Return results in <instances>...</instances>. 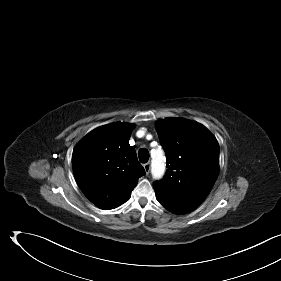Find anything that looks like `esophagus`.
Masks as SVG:
<instances>
[{
	"mask_svg": "<svg viewBox=\"0 0 281 281\" xmlns=\"http://www.w3.org/2000/svg\"><path fill=\"white\" fill-rule=\"evenodd\" d=\"M143 167H144V170H145L146 174H149L150 168H151L150 163H149V162H148V163H145V164L143 165Z\"/></svg>",
	"mask_w": 281,
	"mask_h": 281,
	"instance_id": "1",
	"label": "esophagus"
}]
</instances>
